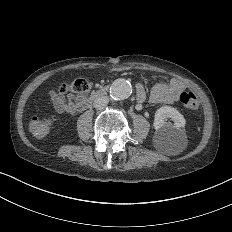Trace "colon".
I'll return each instance as SVG.
<instances>
[{
  "mask_svg": "<svg viewBox=\"0 0 232 232\" xmlns=\"http://www.w3.org/2000/svg\"><path fill=\"white\" fill-rule=\"evenodd\" d=\"M71 89L77 92H85L91 89V84L86 78H81L71 84ZM194 101L195 98L192 91H183L181 97H179V102H183L182 111H186V114L196 111L197 102ZM28 125L26 126V131H33V137H47L50 125H53L50 112H37V116H29Z\"/></svg>",
  "mask_w": 232,
  "mask_h": 232,
  "instance_id": "5ec220e1",
  "label": "colon"
}]
</instances>
